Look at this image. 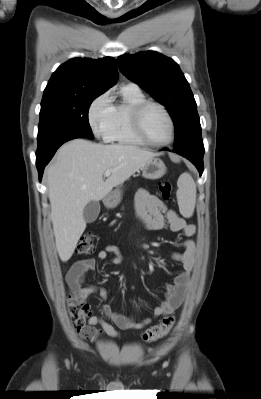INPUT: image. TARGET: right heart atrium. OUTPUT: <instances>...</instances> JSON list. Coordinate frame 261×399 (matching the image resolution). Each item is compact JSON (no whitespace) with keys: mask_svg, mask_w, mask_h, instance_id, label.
Returning a JSON list of instances; mask_svg holds the SVG:
<instances>
[{"mask_svg":"<svg viewBox=\"0 0 261 399\" xmlns=\"http://www.w3.org/2000/svg\"><path fill=\"white\" fill-rule=\"evenodd\" d=\"M112 100L109 93L98 96L88 109V122L93 134L108 140L112 124Z\"/></svg>","mask_w":261,"mask_h":399,"instance_id":"1","label":"right heart atrium"}]
</instances>
